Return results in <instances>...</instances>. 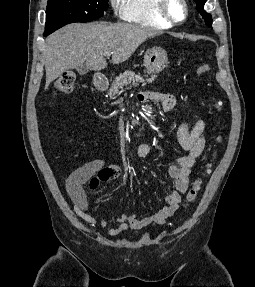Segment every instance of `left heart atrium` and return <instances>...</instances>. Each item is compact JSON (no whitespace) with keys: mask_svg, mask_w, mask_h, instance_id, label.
Here are the masks:
<instances>
[{"mask_svg":"<svg viewBox=\"0 0 255 287\" xmlns=\"http://www.w3.org/2000/svg\"><path fill=\"white\" fill-rule=\"evenodd\" d=\"M117 33H140V32H117ZM115 39H139V38H115ZM121 48H134V47H121Z\"/></svg>","mask_w":255,"mask_h":287,"instance_id":"obj_1","label":"left heart atrium"}]
</instances>
